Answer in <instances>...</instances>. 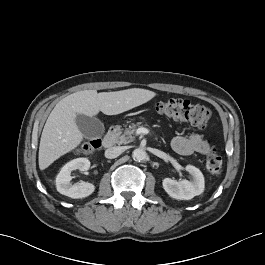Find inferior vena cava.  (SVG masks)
<instances>
[{
    "instance_id": "obj_1",
    "label": "inferior vena cava",
    "mask_w": 265,
    "mask_h": 265,
    "mask_svg": "<svg viewBox=\"0 0 265 265\" xmlns=\"http://www.w3.org/2000/svg\"><path fill=\"white\" fill-rule=\"evenodd\" d=\"M122 152H123L122 147L119 146L111 147L105 151V157L108 159H113L118 157Z\"/></svg>"
}]
</instances>
